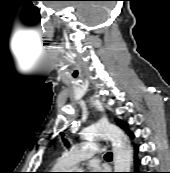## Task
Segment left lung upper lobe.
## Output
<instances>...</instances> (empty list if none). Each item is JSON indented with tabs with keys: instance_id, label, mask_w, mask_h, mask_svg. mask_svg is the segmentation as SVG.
<instances>
[{
	"instance_id": "1",
	"label": "left lung upper lobe",
	"mask_w": 170,
	"mask_h": 173,
	"mask_svg": "<svg viewBox=\"0 0 170 173\" xmlns=\"http://www.w3.org/2000/svg\"><path fill=\"white\" fill-rule=\"evenodd\" d=\"M116 122H117V124H118L120 127H122L123 129L127 130V128H126L127 124H126L125 122H123V121H121V120H119V119H116ZM127 132H128V134L130 135L131 138L134 137L133 134H132L129 130H127Z\"/></svg>"
}]
</instances>
